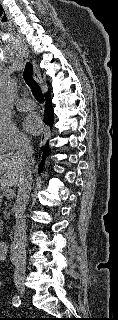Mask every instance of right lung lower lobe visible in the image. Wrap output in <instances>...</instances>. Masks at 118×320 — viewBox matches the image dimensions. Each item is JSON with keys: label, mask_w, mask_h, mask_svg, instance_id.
Returning a JSON list of instances; mask_svg holds the SVG:
<instances>
[{"label": "right lung lower lobe", "mask_w": 118, "mask_h": 320, "mask_svg": "<svg viewBox=\"0 0 118 320\" xmlns=\"http://www.w3.org/2000/svg\"><path fill=\"white\" fill-rule=\"evenodd\" d=\"M46 98V107H45V123L49 124L50 127H52L53 122H54V112L51 106V97L49 94L45 95ZM43 150V155H42V160L40 163V168H42L43 163L45 161L46 156L50 153V148L48 146V142L44 147H42Z\"/></svg>", "instance_id": "98d812e1"}]
</instances>
